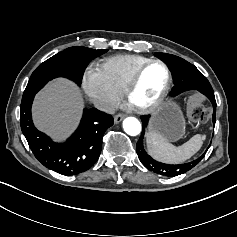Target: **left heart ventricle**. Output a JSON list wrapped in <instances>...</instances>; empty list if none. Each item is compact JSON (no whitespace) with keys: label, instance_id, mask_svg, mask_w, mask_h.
Instances as JSON below:
<instances>
[{"label":"left heart ventricle","instance_id":"1","mask_svg":"<svg viewBox=\"0 0 237 237\" xmlns=\"http://www.w3.org/2000/svg\"><path fill=\"white\" fill-rule=\"evenodd\" d=\"M166 77V71L161 65L149 66L133 94V103L137 106H145L154 101L164 88Z\"/></svg>","mask_w":237,"mask_h":237}]
</instances>
